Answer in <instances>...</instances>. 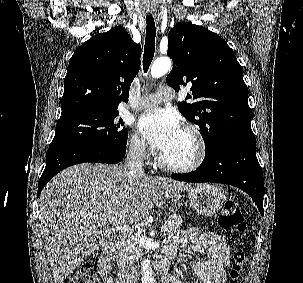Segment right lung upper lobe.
I'll return each mask as SVG.
<instances>
[{"label": "right lung upper lobe", "instance_id": "cb5924a9", "mask_svg": "<svg viewBox=\"0 0 303 283\" xmlns=\"http://www.w3.org/2000/svg\"><path fill=\"white\" fill-rule=\"evenodd\" d=\"M141 46L116 27L82 44L64 79L61 116L81 111L118 112L140 69Z\"/></svg>", "mask_w": 303, "mask_h": 283}]
</instances>
